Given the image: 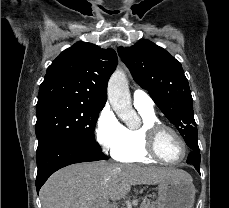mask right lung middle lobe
Returning a JSON list of instances; mask_svg holds the SVG:
<instances>
[{"mask_svg": "<svg viewBox=\"0 0 229 208\" xmlns=\"http://www.w3.org/2000/svg\"><path fill=\"white\" fill-rule=\"evenodd\" d=\"M100 110L69 99H49L37 103V153L62 139L81 141L100 148L94 129Z\"/></svg>", "mask_w": 229, "mask_h": 208, "instance_id": "right-lung-middle-lobe-1", "label": "right lung middle lobe"}]
</instances>
